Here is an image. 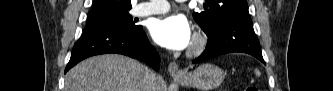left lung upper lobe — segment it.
<instances>
[{"mask_svg": "<svg viewBox=\"0 0 333 91\" xmlns=\"http://www.w3.org/2000/svg\"><path fill=\"white\" fill-rule=\"evenodd\" d=\"M204 11L193 13V17L206 35L210 34L222 21L249 16L247 0H205Z\"/></svg>", "mask_w": 333, "mask_h": 91, "instance_id": "obj_1", "label": "left lung upper lobe"}]
</instances>
